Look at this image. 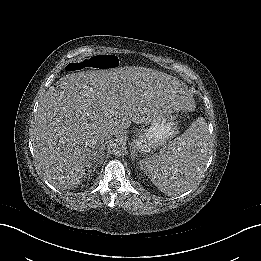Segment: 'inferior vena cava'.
I'll return each instance as SVG.
<instances>
[{"mask_svg": "<svg viewBox=\"0 0 261 261\" xmlns=\"http://www.w3.org/2000/svg\"><path fill=\"white\" fill-rule=\"evenodd\" d=\"M110 134L106 133L104 134V138L106 139L107 137H109Z\"/></svg>", "mask_w": 261, "mask_h": 261, "instance_id": "inferior-vena-cava-1", "label": "inferior vena cava"}]
</instances>
